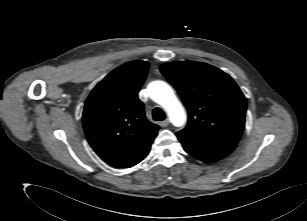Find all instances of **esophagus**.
<instances>
[{
    "label": "esophagus",
    "instance_id": "1",
    "mask_svg": "<svg viewBox=\"0 0 307 221\" xmlns=\"http://www.w3.org/2000/svg\"><path fill=\"white\" fill-rule=\"evenodd\" d=\"M168 124H169V120H168V119H166V120H164V121H161V122L159 123V125H160L161 127H167Z\"/></svg>",
    "mask_w": 307,
    "mask_h": 221
}]
</instances>
